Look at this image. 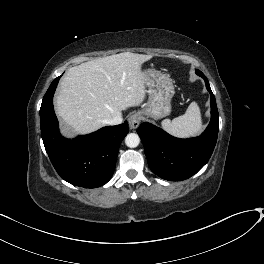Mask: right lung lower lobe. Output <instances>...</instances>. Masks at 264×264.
I'll return each mask as SVG.
<instances>
[{"instance_id": "98d812e1", "label": "right lung lower lobe", "mask_w": 264, "mask_h": 264, "mask_svg": "<svg viewBox=\"0 0 264 264\" xmlns=\"http://www.w3.org/2000/svg\"><path fill=\"white\" fill-rule=\"evenodd\" d=\"M60 76L53 80L40 108L41 134L55 170L65 181L80 187L96 188L113 175L120 144L128 124L107 126L92 134L70 140L62 137L53 108V95Z\"/></svg>"}]
</instances>
